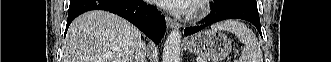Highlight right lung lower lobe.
<instances>
[{
    "mask_svg": "<svg viewBox=\"0 0 331 62\" xmlns=\"http://www.w3.org/2000/svg\"><path fill=\"white\" fill-rule=\"evenodd\" d=\"M90 10H105L127 19L156 44L164 36V16L143 0H71L65 34L74 18Z\"/></svg>",
    "mask_w": 331,
    "mask_h": 62,
    "instance_id": "obj_1",
    "label": "right lung lower lobe"
}]
</instances>
